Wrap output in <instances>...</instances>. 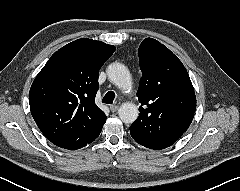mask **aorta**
Instances as JSON below:
<instances>
[{
    "label": "aorta",
    "mask_w": 240,
    "mask_h": 191,
    "mask_svg": "<svg viewBox=\"0 0 240 191\" xmlns=\"http://www.w3.org/2000/svg\"><path fill=\"white\" fill-rule=\"evenodd\" d=\"M107 76L111 83L122 90L131 87L132 81L128 68L121 63H112L107 67ZM139 111L135 104L131 102L123 103L118 111L120 119L125 124H132L138 117Z\"/></svg>",
    "instance_id": "aorta-1"
}]
</instances>
